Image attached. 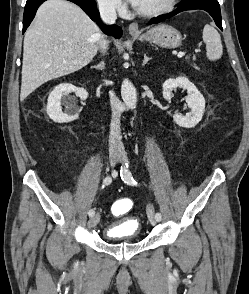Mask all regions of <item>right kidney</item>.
I'll list each match as a JSON object with an SVG mask.
<instances>
[{
	"label": "right kidney",
	"mask_w": 249,
	"mask_h": 294,
	"mask_svg": "<svg viewBox=\"0 0 249 294\" xmlns=\"http://www.w3.org/2000/svg\"><path fill=\"white\" fill-rule=\"evenodd\" d=\"M74 92L82 100H86L88 92L83 88H78L72 84L63 83L56 86L49 94L46 111L48 116L57 123H65L76 120L78 114L75 109V102L71 99L62 100L63 94ZM62 104L65 105V112L62 111Z\"/></svg>",
	"instance_id": "obj_1"
}]
</instances>
